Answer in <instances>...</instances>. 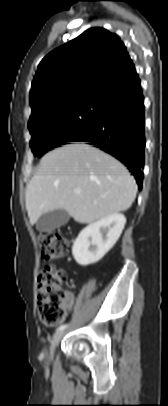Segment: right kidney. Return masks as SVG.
Returning <instances> with one entry per match:
<instances>
[{
    "instance_id": "ca27d5eb",
    "label": "right kidney",
    "mask_w": 168,
    "mask_h": 406,
    "mask_svg": "<svg viewBox=\"0 0 168 406\" xmlns=\"http://www.w3.org/2000/svg\"><path fill=\"white\" fill-rule=\"evenodd\" d=\"M125 223V216L115 213L85 227L72 247L75 261L87 266L101 260L119 239Z\"/></svg>"
}]
</instances>
